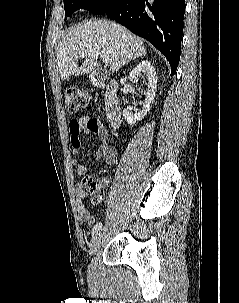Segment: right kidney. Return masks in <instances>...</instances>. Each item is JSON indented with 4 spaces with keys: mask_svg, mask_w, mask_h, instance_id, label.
Returning a JSON list of instances; mask_svg holds the SVG:
<instances>
[{
    "mask_svg": "<svg viewBox=\"0 0 239 303\" xmlns=\"http://www.w3.org/2000/svg\"><path fill=\"white\" fill-rule=\"evenodd\" d=\"M146 75L147 77V93L146 98L143 103V109L141 111H136L134 113L130 112L128 109L123 110V117L129 125H134L136 122L142 120L147 113L150 111L151 106L154 102L156 88H157V76L156 71L150 61H141L136 67H134L130 72V77L137 81L138 76Z\"/></svg>",
    "mask_w": 239,
    "mask_h": 303,
    "instance_id": "1",
    "label": "right kidney"
}]
</instances>
